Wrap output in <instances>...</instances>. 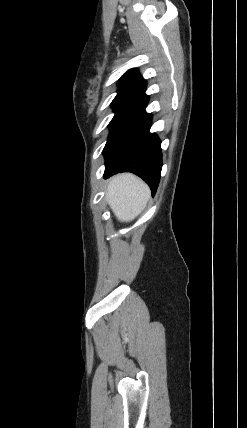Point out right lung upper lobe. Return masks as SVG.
Returning <instances> with one entry per match:
<instances>
[{
    "label": "right lung upper lobe",
    "mask_w": 247,
    "mask_h": 428,
    "mask_svg": "<svg viewBox=\"0 0 247 428\" xmlns=\"http://www.w3.org/2000/svg\"><path fill=\"white\" fill-rule=\"evenodd\" d=\"M118 87V92L141 95L145 92L146 82L136 69H130L121 77Z\"/></svg>",
    "instance_id": "1"
}]
</instances>
